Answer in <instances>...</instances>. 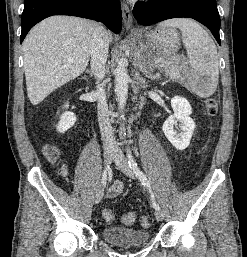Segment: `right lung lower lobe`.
I'll use <instances>...</instances> for the list:
<instances>
[{
  "label": "right lung lower lobe",
  "mask_w": 247,
  "mask_h": 257,
  "mask_svg": "<svg viewBox=\"0 0 247 257\" xmlns=\"http://www.w3.org/2000/svg\"><path fill=\"white\" fill-rule=\"evenodd\" d=\"M52 15H71L100 21L117 34L122 27L119 0H25L20 42L36 23Z\"/></svg>",
  "instance_id": "1"
}]
</instances>
